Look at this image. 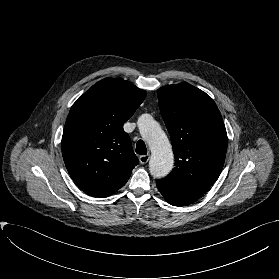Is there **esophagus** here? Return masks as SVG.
<instances>
[{
	"label": "esophagus",
	"instance_id": "esophagus-1",
	"mask_svg": "<svg viewBox=\"0 0 279 279\" xmlns=\"http://www.w3.org/2000/svg\"><path fill=\"white\" fill-rule=\"evenodd\" d=\"M149 159H150V155H141L140 157H139V161H140V163L141 164H146L148 161H149Z\"/></svg>",
	"mask_w": 279,
	"mask_h": 279
}]
</instances>
